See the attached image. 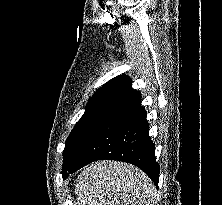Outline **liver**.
<instances>
[{
	"label": "liver",
	"mask_w": 222,
	"mask_h": 205,
	"mask_svg": "<svg viewBox=\"0 0 222 205\" xmlns=\"http://www.w3.org/2000/svg\"><path fill=\"white\" fill-rule=\"evenodd\" d=\"M76 205H156L157 193L139 168L117 161L86 166L75 186Z\"/></svg>",
	"instance_id": "1"
}]
</instances>
